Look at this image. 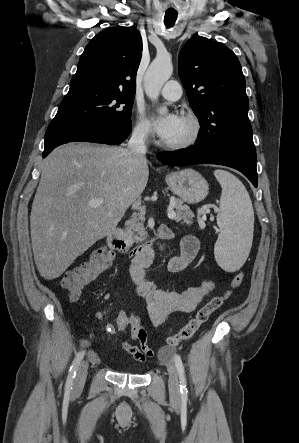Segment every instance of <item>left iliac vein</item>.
<instances>
[{
  "label": "left iliac vein",
  "mask_w": 299,
  "mask_h": 443,
  "mask_svg": "<svg viewBox=\"0 0 299 443\" xmlns=\"http://www.w3.org/2000/svg\"><path fill=\"white\" fill-rule=\"evenodd\" d=\"M167 371L169 375L168 386L171 396L174 399H179L180 397V389H179V380L176 367L172 361L167 363Z\"/></svg>",
  "instance_id": "left-iliac-vein-1"
}]
</instances>
